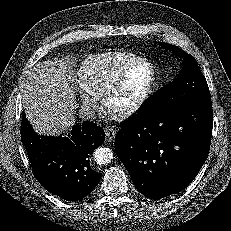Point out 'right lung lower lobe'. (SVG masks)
Segmentation results:
<instances>
[{
    "mask_svg": "<svg viewBox=\"0 0 231 231\" xmlns=\"http://www.w3.org/2000/svg\"><path fill=\"white\" fill-rule=\"evenodd\" d=\"M21 139L34 176L49 192L77 201L97 186L101 173L91 168L89 158L105 133L96 123L74 125L67 137L44 136L34 131L23 112Z\"/></svg>",
    "mask_w": 231,
    "mask_h": 231,
    "instance_id": "1",
    "label": "right lung lower lobe"
}]
</instances>
